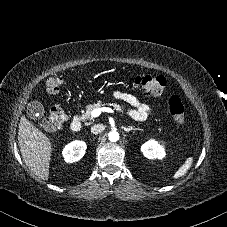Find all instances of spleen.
<instances>
[{
    "label": "spleen",
    "mask_w": 227,
    "mask_h": 227,
    "mask_svg": "<svg viewBox=\"0 0 227 227\" xmlns=\"http://www.w3.org/2000/svg\"><path fill=\"white\" fill-rule=\"evenodd\" d=\"M193 164V157H188L185 162L179 167V169L173 175V179H178L185 175Z\"/></svg>",
    "instance_id": "obj_1"
}]
</instances>
